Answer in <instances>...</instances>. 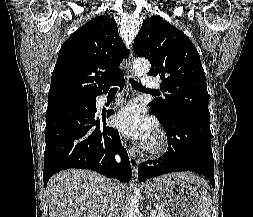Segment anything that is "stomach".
Instances as JSON below:
<instances>
[{
  "mask_svg": "<svg viewBox=\"0 0 253 217\" xmlns=\"http://www.w3.org/2000/svg\"><path fill=\"white\" fill-rule=\"evenodd\" d=\"M151 199L161 205L168 217H196L199 195L188 181L168 174L145 187Z\"/></svg>",
  "mask_w": 253,
  "mask_h": 217,
  "instance_id": "stomach-1",
  "label": "stomach"
}]
</instances>
